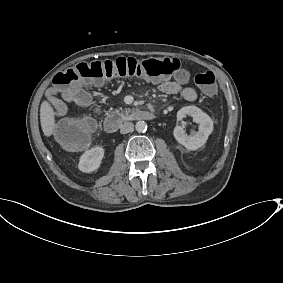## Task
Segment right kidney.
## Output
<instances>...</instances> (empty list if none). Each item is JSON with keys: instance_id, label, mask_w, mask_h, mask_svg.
<instances>
[{"instance_id": "1", "label": "right kidney", "mask_w": 283, "mask_h": 283, "mask_svg": "<svg viewBox=\"0 0 283 283\" xmlns=\"http://www.w3.org/2000/svg\"><path fill=\"white\" fill-rule=\"evenodd\" d=\"M104 154L105 150L99 146L86 150L79 158L78 170L84 173L97 171L101 166Z\"/></svg>"}]
</instances>
